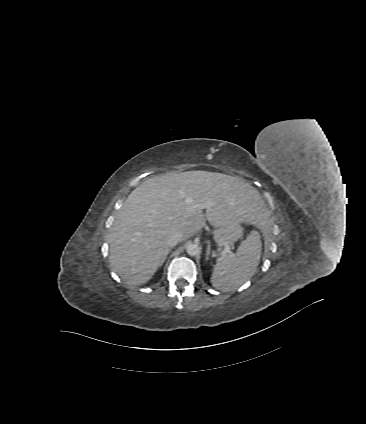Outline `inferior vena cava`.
<instances>
[{
    "label": "inferior vena cava",
    "instance_id": "1",
    "mask_svg": "<svg viewBox=\"0 0 366 424\" xmlns=\"http://www.w3.org/2000/svg\"><path fill=\"white\" fill-rule=\"evenodd\" d=\"M182 240L181 232H174L167 237L166 244L169 247H175Z\"/></svg>",
    "mask_w": 366,
    "mask_h": 424
}]
</instances>
